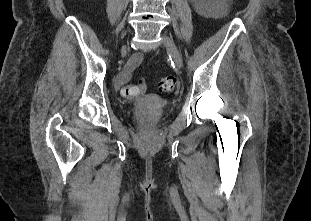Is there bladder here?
<instances>
[{
	"instance_id": "31cf9c89",
	"label": "bladder",
	"mask_w": 311,
	"mask_h": 221,
	"mask_svg": "<svg viewBox=\"0 0 311 221\" xmlns=\"http://www.w3.org/2000/svg\"><path fill=\"white\" fill-rule=\"evenodd\" d=\"M142 97L146 102L152 103L154 100L151 94H145V95H142ZM154 122H157V120H154Z\"/></svg>"
}]
</instances>
